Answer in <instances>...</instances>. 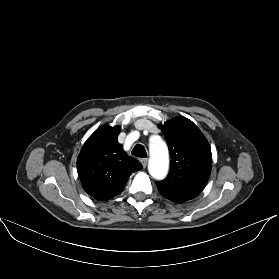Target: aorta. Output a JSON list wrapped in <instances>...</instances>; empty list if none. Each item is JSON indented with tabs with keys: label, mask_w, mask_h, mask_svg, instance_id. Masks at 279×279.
<instances>
[{
	"label": "aorta",
	"mask_w": 279,
	"mask_h": 279,
	"mask_svg": "<svg viewBox=\"0 0 279 279\" xmlns=\"http://www.w3.org/2000/svg\"><path fill=\"white\" fill-rule=\"evenodd\" d=\"M149 152L150 175L157 180L164 179L169 170V153L166 143L161 138H155L149 144Z\"/></svg>",
	"instance_id": "1"
}]
</instances>
